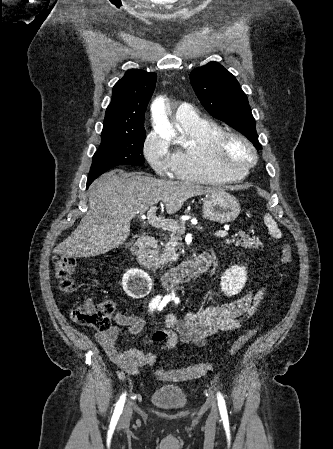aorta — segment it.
Wrapping results in <instances>:
<instances>
[{
	"label": "aorta",
	"instance_id": "762f6f07",
	"mask_svg": "<svg viewBox=\"0 0 333 449\" xmlns=\"http://www.w3.org/2000/svg\"><path fill=\"white\" fill-rule=\"evenodd\" d=\"M164 100L159 99L155 102L152 112L156 122L157 132L164 137H174L175 131L167 123L166 117L163 114Z\"/></svg>",
	"mask_w": 333,
	"mask_h": 449
}]
</instances>
